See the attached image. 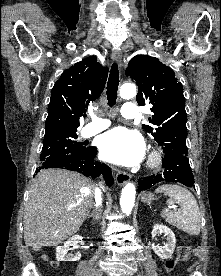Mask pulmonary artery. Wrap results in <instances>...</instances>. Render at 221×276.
Listing matches in <instances>:
<instances>
[{"instance_id":"pulmonary-artery-1","label":"pulmonary artery","mask_w":221,"mask_h":276,"mask_svg":"<svg viewBox=\"0 0 221 276\" xmlns=\"http://www.w3.org/2000/svg\"><path fill=\"white\" fill-rule=\"evenodd\" d=\"M137 113V107L132 103H126L122 107L121 114L124 118L133 119L137 116ZM109 125L110 122L108 120L93 116L92 122L82 130V135L84 137L93 136L106 129Z\"/></svg>"}]
</instances>
